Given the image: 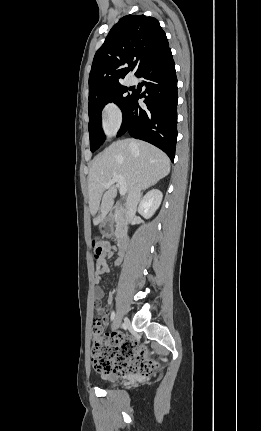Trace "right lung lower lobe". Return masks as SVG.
<instances>
[{
	"label": "right lung lower lobe",
	"instance_id": "right-lung-lower-lobe-1",
	"mask_svg": "<svg viewBox=\"0 0 261 431\" xmlns=\"http://www.w3.org/2000/svg\"><path fill=\"white\" fill-rule=\"evenodd\" d=\"M137 77L144 78L143 94L133 92L123 110L118 136L129 132L163 150L174 161L177 142V78L171 49L168 47L148 62ZM144 98L145 107L138 104Z\"/></svg>",
	"mask_w": 261,
	"mask_h": 431
}]
</instances>
